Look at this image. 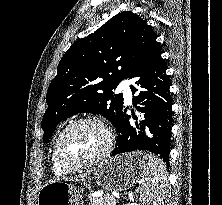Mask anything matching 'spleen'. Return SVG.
<instances>
[{
    "label": "spleen",
    "mask_w": 222,
    "mask_h": 205,
    "mask_svg": "<svg viewBox=\"0 0 222 205\" xmlns=\"http://www.w3.org/2000/svg\"><path fill=\"white\" fill-rule=\"evenodd\" d=\"M139 199L145 205H163L167 184V171L163 161L152 154H144Z\"/></svg>",
    "instance_id": "3e777b00"
}]
</instances>
